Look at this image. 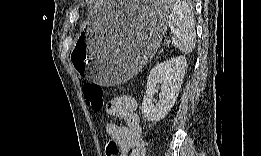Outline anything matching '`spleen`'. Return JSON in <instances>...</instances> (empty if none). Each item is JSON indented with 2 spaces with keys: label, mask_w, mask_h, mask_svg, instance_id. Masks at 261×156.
<instances>
[{
  "label": "spleen",
  "mask_w": 261,
  "mask_h": 156,
  "mask_svg": "<svg viewBox=\"0 0 261 156\" xmlns=\"http://www.w3.org/2000/svg\"><path fill=\"white\" fill-rule=\"evenodd\" d=\"M169 6L172 44L182 53H191L196 42L195 18L192 8L186 1L181 0L169 2Z\"/></svg>",
  "instance_id": "1"
}]
</instances>
